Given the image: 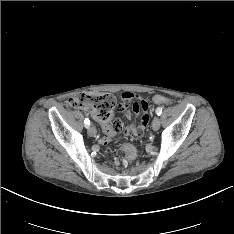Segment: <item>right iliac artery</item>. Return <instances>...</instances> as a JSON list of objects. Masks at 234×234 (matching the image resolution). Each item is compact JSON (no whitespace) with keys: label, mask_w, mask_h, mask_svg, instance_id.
<instances>
[{"label":"right iliac artery","mask_w":234,"mask_h":234,"mask_svg":"<svg viewBox=\"0 0 234 234\" xmlns=\"http://www.w3.org/2000/svg\"><path fill=\"white\" fill-rule=\"evenodd\" d=\"M84 123H85V127L86 128L90 127V121H89V119H85Z\"/></svg>","instance_id":"obj_1"}]
</instances>
